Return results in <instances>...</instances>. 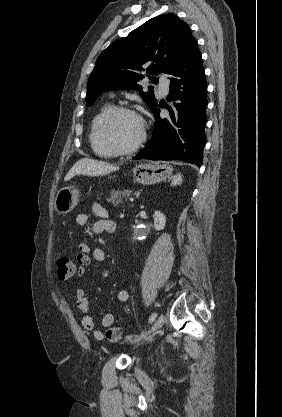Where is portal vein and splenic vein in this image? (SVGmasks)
Here are the masks:
<instances>
[{
    "mask_svg": "<svg viewBox=\"0 0 282 417\" xmlns=\"http://www.w3.org/2000/svg\"><path fill=\"white\" fill-rule=\"evenodd\" d=\"M127 202H128V203H134V202H135V199H134V198H128V199H127Z\"/></svg>",
    "mask_w": 282,
    "mask_h": 417,
    "instance_id": "obj_1",
    "label": "portal vein and splenic vein"
}]
</instances>
